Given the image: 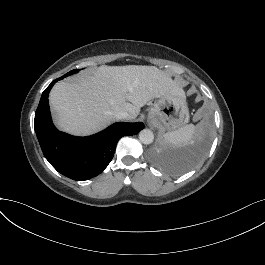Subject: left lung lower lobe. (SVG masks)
<instances>
[{
    "instance_id": "left-lung-lower-lobe-1",
    "label": "left lung lower lobe",
    "mask_w": 265,
    "mask_h": 265,
    "mask_svg": "<svg viewBox=\"0 0 265 265\" xmlns=\"http://www.w3.org/2000/svg\"><path fill=\"white\" fill-rule=\"evenodd\" d=\"M209 145V136L203 132L195 141L183 147L154 149L149 154L151 162L159 169L180 175L196 166L205 155Z\"/></svg>"
}]
</instances>
